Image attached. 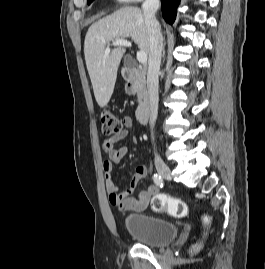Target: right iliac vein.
<instances>
[{
    "label": "right iliac vein",
    "instance_id": "63e3f726",
    "mask_svg": "<svg viewBox=\"0 0 265 269\" xmlns=\"http://www.w3.org/2000/svg\"><path fill=\"white\" fill-rule=\"evenodd\" d=\"M155 167L157 172L165 179H171V170L170 168L167 166V164L158 159L155 161Z\"/></svg>",
    "mask_w": 265,
    "mask_h": 269
}]
</instances>
